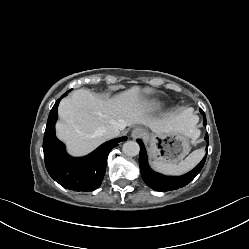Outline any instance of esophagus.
I'll use <instances>...</instances> for the list:
<instances>
[{"label": "esophagus", "instance_id": "obj_1", "mask_svg": "<svg viewBox=\"0 0 249 249\" xmlns=\"http://www.w3.org/2000/svg\"><path fill=\"white\" fill-rule=\"evenodd\" d=\"M144 134H145V131H144L143 128H141V127H136V128H134V129L132 130V132H131V137H132L133 139H137V138L143 137Z\"/></svg>", "mask_w": 249, "mask_h": 249}]
</instances>
